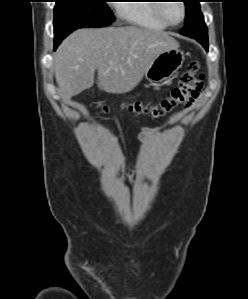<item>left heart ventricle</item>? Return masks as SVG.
Wrapping results in <instances>:
<instances>
[{
  "instance_id": "b2bd125f",
  "label": "left heart ventricle",
  "mask_w": 248,
  "mask_h": 299,
  "mask_svg": "<svg viewBox=\"0 0 248 299\" xmlns=\"http://www.w3.org/2000/svg\"><path fill=\"white\" fill-rule=\"evenodd\" d=\"M163 11L168 20L174 23L178 22L182 17V9L178 1L166 3Z\"/></svg>"
}]
</instances>
